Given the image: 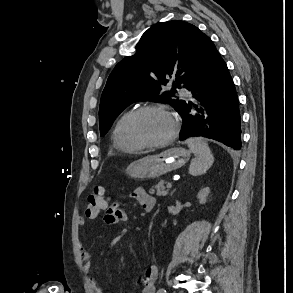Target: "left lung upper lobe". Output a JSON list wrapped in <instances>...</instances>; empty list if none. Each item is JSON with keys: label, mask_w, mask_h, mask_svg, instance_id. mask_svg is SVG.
<instances>
[{"label": "left lung upper lobe", "mask_w": 293, "mask_h": 293, "mask_svg": "<svg viewBox=\"0 0 293 293\" xmlns=\"http://www.w3.org/2000/svg\"><path fill=\"white\" fill-rule=\"evenodd\" d=\"M210 38L196 26L180 21L158 23L136 45V53L119 62L103 90L99 123L105 135L115 118L137 101H157L179 110L178 88L195 85L201 76ZM172 82L169 91L164 85Z\"/></svg>", "instance_id": "obj_1"}]
</instances>
